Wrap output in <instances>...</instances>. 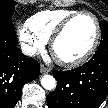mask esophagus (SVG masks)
<instances>
[{
  "mask_svg": "<svg viewBox=\"0 0 108 108\" xmlns=\"http://www.w3.org/2000/svg\"><path fill=\"white\" fill-rule=\"evenodd\" d=\"M40 71L41 73H49L50 72V68L44 66L43 64L40 65Z\"/></svg>",
  "mask_w": 108,
  "mask_h": 108,
  "instance_id": "34e87169",
  "label": "esophagus"
}]
</instances>
